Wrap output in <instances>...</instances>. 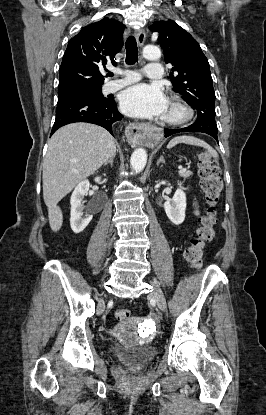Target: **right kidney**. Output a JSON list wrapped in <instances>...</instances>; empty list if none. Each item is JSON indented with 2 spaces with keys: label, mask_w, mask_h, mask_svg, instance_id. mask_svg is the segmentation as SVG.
Here are the masks:
<instances>
[{
  "label": "right kidney",
  "mask_w": 266,
  "mask_h": 415,
  "mask_svg": "<svg viewBox=\"0 0 266 415\" xmlns=\"http://www.w3.org/2000/svg\"><path fill=\"white\" fill-rule=\"evenodd\" d=\"M101 178L96 177L95 182H100ZM90 183L88 180H83L74 189L70 204H71V218L70 225L74 233L82 232L92 220V215L83 217L84 205L82 200L88 194Z\"/></svg>",
  "instance_id": "right-kidney-1"
}]
</instances>
